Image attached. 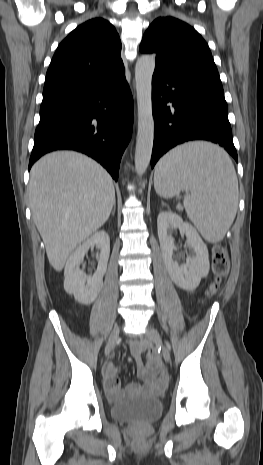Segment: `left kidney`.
Returning <instances> with one entry per match:
<instances>
[{"mask_svg":"<svg viewBox=\"0 0 263 465\" xmlns=\"http://www.w3.org/2000/svg\"><path fill=\"white\" fill-rule=\"evenodd\" d=\"M157 228L162 256L171 279L184 290H195L201 278L206 277L209 273L207 246L197 230L173 212H161L157 218ZM174 229H179L180 232L185 233L188 246L195 252V255L188 257L186 263L182 265L173 258L175 245L169 231Z\"/></svg>","mask_w":263,"mask_h":465,"instance_id":"left-kidney-1","label":"left kidney"}]
</instances>
